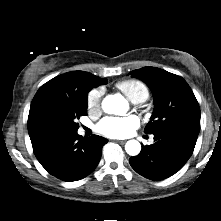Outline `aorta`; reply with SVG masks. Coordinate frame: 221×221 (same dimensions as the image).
<instances>
[{
	"label": "aorta",
	"instance_id": "aorta-1",
	"mask_svg": "<svg viewBox=\"0 0 221 221\" xmlns=\"http://www.w3.org/2000/svg\"><path fill=\"white\" fill-rule=\"evenodd\" d=\"M102 109L108 114L121 115L127 111L128 102L121 95H108L102 101ZM125 150L130 156H136L141 151V145L137 140H129Z\"/></svg>",
	"mask_w": 221,
	"mask_h": 221
}]
</instances>
